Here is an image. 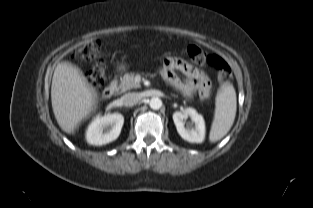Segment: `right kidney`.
<instances>
[{
    "label": "right kidney",
    "mask_w": 313,
    "mask_h": 208,
    "mask_svg": "<svg viewBox=\"0 0 313 208\" xmlns=\"http://www.w3.org/2000/svg\"><path fill=\"white\" fill-rule=\"evenodd\" d=\"M124 117L119 113L97 116L86 131V140L91 145L110 143L120 135Z\"/></svg>",
    "instance_id": "right-kidney-1"
}]
</instances>
